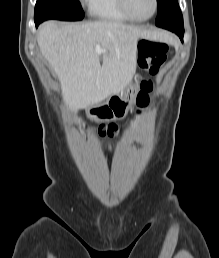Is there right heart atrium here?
I'll use <instances>...</instances> for the list:
<instances>
[{
	"mask_svg": "<svg viewBox=\"0 0 219 258\" xmlns=\"http://www.w3.org/2000/svg\"><path fill=\"white\" fill-rule=\"evenodd\" d=\"M80 1H81V3L83 5H85L86 7L90 8V5H91L93 0H80Z\"/></svg>",
	"mask_w": 219,
	"mask_h": 258,
	"instance_id": "right-heart-atrium-1",
	"label": "right heart atrium"
}]
</instances>
